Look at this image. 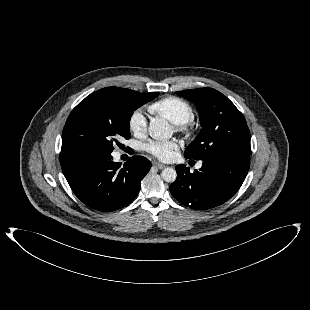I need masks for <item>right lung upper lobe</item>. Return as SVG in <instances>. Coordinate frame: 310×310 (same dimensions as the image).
<instances>
[{
  "instance_id": "obj_1",
  "label": "right lung upper lobe",
  "mask_w": 310,
  "mask_h": 310,
  "mask_svg": "<svg viewBox=\"0 0 310 310\" xmlns=\"http://www.w3.org/2000/svg\"><path fill=\"white\" fill-rule=\"evenodd\" d=\"M112 89H115L117 91H120L122 93H126V94H129V95H134V96H145L146 94H149V93H139L137 91H133V90H130V89H125V88H118V87H110Z\"/></svg>"
}]
</instances>
